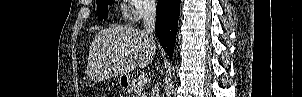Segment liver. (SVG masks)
Listing matches in <instances>:
<instances>
[{"instance_id": "obj_1", "label": "liver", "mask_w": 302, "mask_h": 97, "mask_svg": "<svg viewBox=\"0 0 302 97\" xmlns=\"http://www.w3.org/2000/svg\"><path fill=\"white\" fill-rule=\"evenodd\" d=\"M155 42L144 30L115 26L98 32L88 57L90 77L127 75L136 66L146 67L155 56Z\"/></svg>"}]
</instances>
